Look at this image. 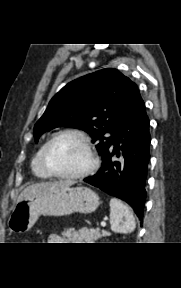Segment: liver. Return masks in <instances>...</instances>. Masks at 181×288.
I'll use <instances>...</instances> for the list:
<instances>
[{
	"mask_svg": "<svg viewBox=\"0 0 181 288\" xmlns=\"http://www.w3.org/2000/svg\"><path fill=\"white\" fill-rule=\"evenodd\" d=\"M72 184H74L73 181L42 182V183L32 184V185L26 187L21 192V194L18 197V201H21L27 197L41 194V193L48 191V190H51V189L71 186Z\"/></svg>",
	"mask_w": 181,
	"mask_h": 288,
	"instance_id": "obj_1",
	"label": "liver"
}]
</instances>
